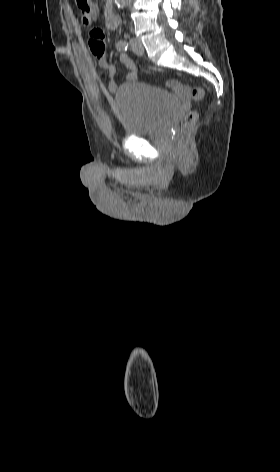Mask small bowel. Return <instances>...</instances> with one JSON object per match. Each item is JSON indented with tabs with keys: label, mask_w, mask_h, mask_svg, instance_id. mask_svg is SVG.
<instances>
[{
	"label": "small bowel",
	"mask_w": 280,
	"mask_h": 472,
	"mask_svg": "<svg viewBox=\"0 0 280 472\" xmlns=\"http://www.w3.org/2000/svg\"><path fill=\"white\" fill-rule=\"evenodd\" d=\"M89 49L94 56L97 65L107 72L109 78L108 90L115 92L117 86L115 83V76L117 68L114 64L110 63L105 55V43L104 33L99 28H93L89 32ZM119 62L129 69L126 79L128 81H134L138 77V69L132 59L126 54L119 56ZM168 84L171 87H178V83L175 80H170Z\"/></svg>",
	"instance_id": "1"
}]
</instances>
